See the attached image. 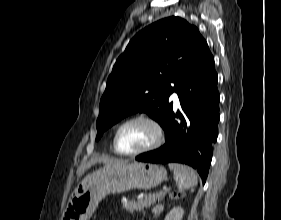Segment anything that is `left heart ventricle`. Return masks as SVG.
I'll list each match as a JSON object with an SVG mask.
<instances>
[{
    "label": "left heart ventricle",
    "instance_id": "1",
    "mask_svg": "<svg viewBox=\"0 0 281 220\" xmlns=\"http://www.w3.org/2000/svg\"><path fill=\"white\" fill-rule=\"evenodd\" d=\"M154 138V128L147 122L137 121L121 130L117 144L120 151L134 152L151 144Z\"/></svg>",
    "mask_w": 281,
    "mask_h": 220
}]
</instances>
